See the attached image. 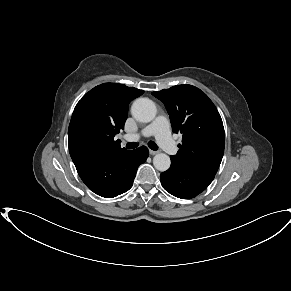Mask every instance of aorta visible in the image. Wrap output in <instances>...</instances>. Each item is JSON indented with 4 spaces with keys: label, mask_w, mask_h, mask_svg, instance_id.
Returning a JSON list of instances; mask_svg holds the SVG:
<instances>
[{
    "label": "aorta",
    "mask_w": 291,
    "mask_h": 291,
    "mask_svg": "<svg viewBox=\"0 0 291 291\" xmlns=\"http://www.w3.org/2000/svg\"><path fill=\"white\" fill-rule=\"evenodd\" d=\"M155 103L149 98H138L131 107L132 116L140 122H151L156 116ZM171 164L170 157L164 153H158L153 158L154 167L164 172L169 169Z\"/></svg>",
    "instance_id": "762f6f07"
}]
</instances>
